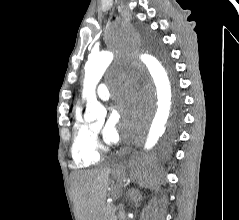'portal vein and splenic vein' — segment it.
Returning <instances> with one entry per match:
<instances>
[{
	"label": "portal vein and splenic vein",
	"mask_w": 239,
	"mask_h": 220,
	"mask_svg": "<svg viewBox=\"0 0 239 220\" xmlns=\"http://www.w3.org/2000/svg\"><path fill=\"white\" fill-rule=\"evenodd\" d=\"M117 210V207L116 206H113V211L115 212Z\"/></svg>",
	"instance_id": "obj_1"
}]
</instances>
